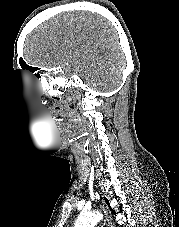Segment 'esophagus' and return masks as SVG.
<instances>
[{
    "label": "esophagus",
    "mask_w": 179,
    "mask_h": 227,
    "mask_svg": "<svg viewBox=\"0 0 179 227\" xmlns=\"http://www.w3.org/2000/svg\"><path fill=\"white\" fill-rule=\"evenodd\" d=\"M99 207H100L101 211H103V213H104V219H103L104 224L107 227H113L112 222H111L110 218L108 217L107 211L105 210L104 206L102 204H99Z\"/></svg>",
    "instance_id": "obj_1"
}]
</instances>
